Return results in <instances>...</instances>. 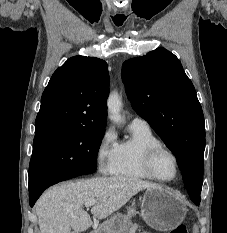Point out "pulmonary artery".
I'll list each match as a JSON object with an SVG mask.
<instances>
[{
    "label": "pulmonary artery",
    "mask_w": 227,
    "mask_h": 233,
    "mask_svg": "<svg viewBox=\"0 0 227 233\" xmlns=\"http://www.w3.org/2000/svg\"><path fill=\"white\" fill-rule=\"evenodd\" d=\"M130 127H137L143 129H150L148 122L140 117H134L131 120Z\"/></svg>",
    "instance_id": "pulmonary-artery-1"
}]
</instances>
